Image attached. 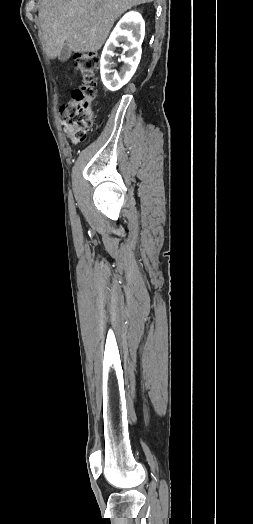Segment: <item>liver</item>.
<instances>
[{
    "label": "liver",
    "instance_id": "obj_1",
    "mask_svg": "<svg viewBox=\"0 0 253 524\" xmlns=\"http://www.w3.org/2000/svg\"><path fill=\"white\" fill-rule=\"evenodd\" d=\"M153 0H41L39 24L45 51L57 57L67 45L73 52H95L125 11Z\"/></svg>",
    "mask_w": 253,
    "mask_h": 524
}]
</instances>
